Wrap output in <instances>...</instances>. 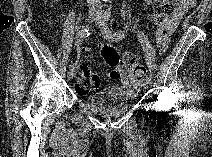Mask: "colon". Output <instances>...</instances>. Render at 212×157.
<instances>
[{"mask_svg": "<svg viewBox=\"0 0 212 157\" xmlns=\"http://www.w3.org/2000/svg\"><path fill=\"white\" fill-rule=\"evenodd\" d=\"M175 6L173 0H162L155 4L152 13V22L161 29L166 18L171 15ZM101 55L111 69L110 76L120 78L123 83H129L141 79L145 74V68L140 64V58L136 53L126 51L121 54L109 44L101 47ZM99 84V77L89 69L80 68L75 84L78 93H87L95 89Z\"/></svg>", "mask_w": 212, "mask_h": 157, "instance_id": "1", "label": "colon"}]
</instances>
